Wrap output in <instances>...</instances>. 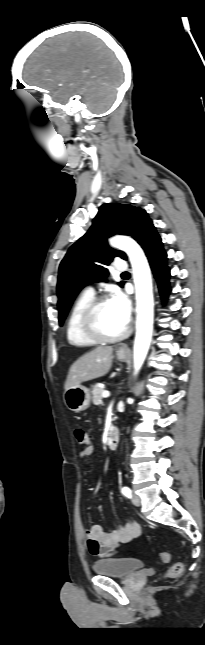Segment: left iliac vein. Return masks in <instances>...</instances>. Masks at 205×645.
<instances>
[{
    "mask_svg": "<svg viewBox=\"0 0 205 645\" xmlns=\"http://www.w3.org/2000/svg\"><path fill=\"white\" fill-rule=\"evenodd\" d=\"M131 500H132V503H133L134 505H136V506H140V505H141V499H140V497H139L138 495L133 494V495H132Z\"/></svg>",
    "mask_w": 205,
    "mask_h": 645,
    "instance_id": "1",
    "label": "left iliac vein"
}]
</instances>
